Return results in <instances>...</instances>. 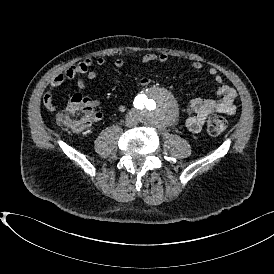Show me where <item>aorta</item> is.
<instances>
[{
    "label": "aorta",
    "instance_id": "1",
    "mask_svg": "<svg viewBox=\"0 0 274 274\" xmlns=\"http://www.w3.org/2000/svg\"><path fill=\"white\" fill-rule=\"evenodd\" d=\"M137 107L140 109L143 123L155 127L170 124L179 112L172 93L155 85L139 96Z\"/></svg>",
    "mask_w": 274,
    "mask_h": 274
}]
</instances>
